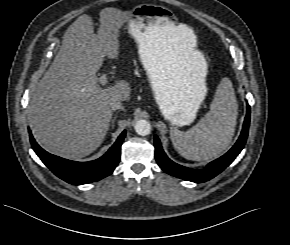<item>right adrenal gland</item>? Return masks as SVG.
<instances>
[{
  "label": "right adrenal gland",
  "instance_id": "obj_1",
  "mask_svg": "<svg viewBox=\"0 0 290 245\" xmlns=\"http://www.w3.org/2000/svg\"><path fill=\"white\" fill-rule=\"evenodd\" d=\"M115 120H116V116L113 117L112 120H111V127H112V128L114 127V122H115Z\"/></svg>",
  "mask_w": 290,
  "mask_h": 245
}]
</instances>
